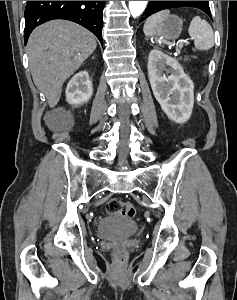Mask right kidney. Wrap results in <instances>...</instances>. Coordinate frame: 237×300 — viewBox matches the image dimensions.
Instances as JSON below:
<instances>
[{
    "instance_id": "ca27d5eb",
    "label": "right kidney",
    "mask_w": 237,
    "mask_h": 300,
    "mask_svg": "<svg viewBox=\"0 0 237 300\" xmlns=\"http://www.w3.org/2000/svg\"><path fill=\"white\" fill-rule=\"evenodd\" d=\"M92 93L93 87L87 71H80L67 85L66 101L69 105H84L91 99Z\"/></svg>"
}]
</instances>
